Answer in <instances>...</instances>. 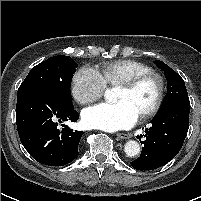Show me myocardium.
<instances>
[{
	"label": "myocardium",
	"mask_w": 201,
	"mask_h": 201,
	"mask_svg": "<svg viewBox=\"0 0 201 201\" xmlns=\"http://www.w3.org/2000/svg\"><path fill=\"white\" fill-rule=\"evenodd\" d=\"M147 79H154L156 81L157 95H156V99H155L154 103L152 104V106L139 116V118L142 120L152 117L161 108L163 100H164L165 90H166V83H165L164 77L158 72L149 71V72H145V73H141V74L132 76V77L122 81L119 84V86H121V87L133 89Z\"/></svg>",
	"instance_id": "myocardium-1"
}]
</instances>
